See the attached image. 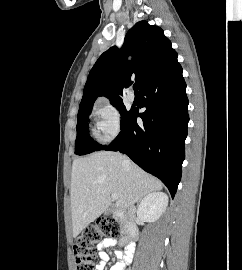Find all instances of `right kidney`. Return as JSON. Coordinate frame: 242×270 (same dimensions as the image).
Here are the masks:
<instances>
[{
  "label": "right kidney",
  "mask_w": 242,
  "mask_h": 270,
  "mask_svg": "<svg viewBox=\"0 0 242 270\" xmlns=\"http://www.w3.org/2000/svg\"><path fill=\"white\" fill-rule=\"evenodd\" d=\"M168 196L163 192H152L146 195L137 209V216L145 222H154L165 212Z\"/></svg>",
  "instance_id": "ca27d5eb"
}]
</instances>
